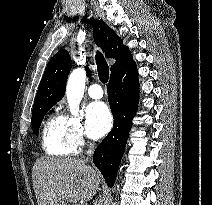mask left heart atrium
Instances as JSON below:
<instances>
[{"mask_svg":"<svg viewBox=\"0 0 212 205\" xmlns=\"http://www.w3.org/2000/svg\"><path fill=\"white\" fill-rule=\"evenodd\" d=\"M112 126V115L103 102H93L87 108L86 127L90 138L104 136Z\"/></svg>","mask_w":212,"mask_h":205,"instance_id":"left-heart-atrium-1","label":"left heart atrium"}]
</instances>
